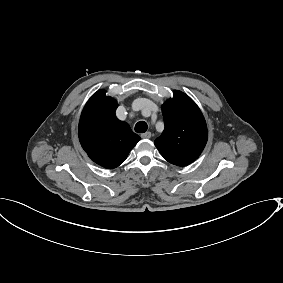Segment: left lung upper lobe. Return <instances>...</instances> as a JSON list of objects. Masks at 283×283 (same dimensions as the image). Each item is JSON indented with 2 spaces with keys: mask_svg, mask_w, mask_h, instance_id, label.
<instances>
[{
  "mask_svg": "<svg viewBox=\"0 0 283 283\" xmlns=\"http://www.w3.org/2000/svg\"><path fill=\"white\" fill-rule=\"evenodd\" d=\"M165 129L155 146L168 162L186 166L203 151L208 131L203 114L185 93L175 90L173 99L162 105Z\"/></svg>",
  "mask_w": 283,
  "mask_h": 283,
  "instance_id": "1",
  "label": "left lung upper lobe"
}]
</instances>
